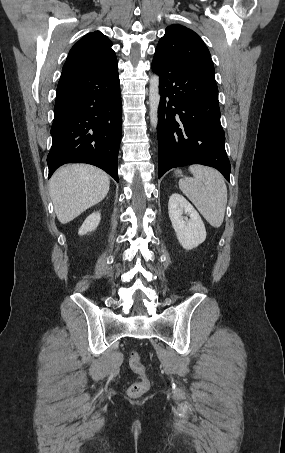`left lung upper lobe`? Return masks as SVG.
Here are the masks:
<instances>
[{"label":"left lung upper lobe","mask_w":285,"mask_h":453,"mask_svg":"<svg viewBox=\"0 0 285 453\" xmlns=\"http://www.w3.org/2000/svg\"><path fill=\"white\" fill-rule=\"evenodd\" d=\"M156 52L171 61L185 63L215 81L214 65L208 48L194 31L185 26L179 24L168 26Z\"/></svg>","instance_id":"5c2ea615"}]
</instances>
